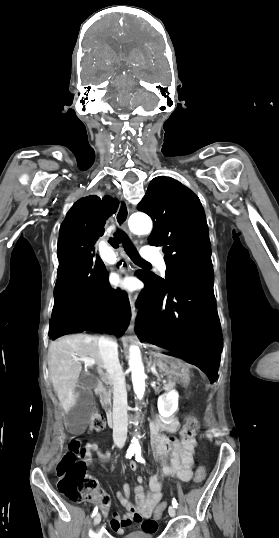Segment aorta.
Segmentation results:
<instances>
[{
    "mask_svg": "<svg viewBox=\"0 0 279 538\" xmlns=\"http://www.w3.org/2000/svg\"><path fill=\"white\" fill-rule=\"evenodd\" d=\"M128 225L130 230L135 234H149L152 230V220L149 216L141 213H135L130 216ZM130 370L132 372V383L137 398L141 399L145 391V372L142 364L140 349L138 346L130 348ZM130 447L137 449L140 447L138 439L133 438Z\"/></svg>",
    "mask_w": 279,
    "mask_h": 538,
    "instance_id": "1",
    "label": "aorta"
}]
</instances>
